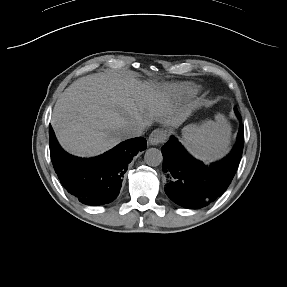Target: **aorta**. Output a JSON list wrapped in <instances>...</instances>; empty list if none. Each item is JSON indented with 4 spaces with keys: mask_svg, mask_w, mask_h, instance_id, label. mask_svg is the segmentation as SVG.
Listing matches in <instances>:
<instances>
[{
    "mask_svg": "<svg viewBox=\"0 0 287 287\" xmlns=\"http://www.w3.org/2000/svg\"><path fill=\"white\" fill-rule=\"evenodd\" d=\"M144 161L149 166H159L163 161L162 152L157 148H149L145 152Z\"/></svg>",
    "mask_w": 287,
    "mask_h": 287,
    "instance_id": "aorta-1",
    "label": "aorta"
}]
</instances>
